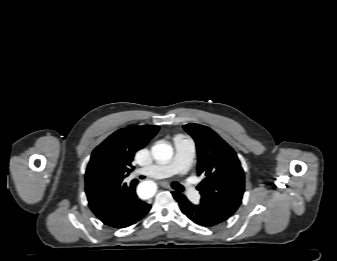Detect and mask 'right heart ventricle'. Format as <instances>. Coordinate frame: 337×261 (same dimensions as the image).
Returning a JSON list of instances; mask_svg holds the SVG:
<instances>
[{
  "label": "right heart ventricle",
  "mask_w": 337,
  "mask_h": 261,
  "mask_svg": "<svg viewBox=\"0 0 337 261\" xmlns=\"http://www.w3.org/2000/svg\"><path fill=\"white\" fill-rule=\"evenodd\" d=\"M182 137H180V136H178V137H176V139H181Z\"/></svg>",
  "instance_id": "e07e8e85"
}]
</instances>
